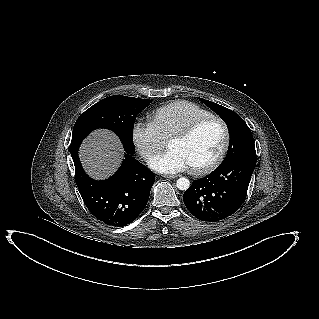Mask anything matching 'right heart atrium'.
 <instances>
[{"instance_id": "1", "label": "right heart atrium", "mask_w": 319, "mask_h": 319, "mask_svg": "<svg viewBox=\"0 0 319 319\" xmlns=\"http://www.w3.org/2000/svg\"><path fill=\"white\" fill-rule=\"evenodd\" d=\"M131 138L140 156L149 161L166 145V140L151 122L137 121L131 131Z\"/></svg>"}]
</instances>
